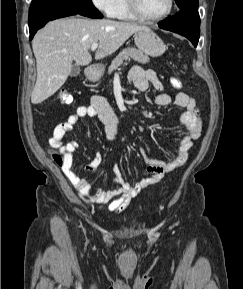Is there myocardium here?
I'll return each mask as SVG.
<instances>
[{
	"mask_svg": "<svg viewBox=\"0 0 243 289\" xmlns=\"http://www.w3.org/2000/svg\"><path fill=\"white\" fill-rule=\"evenodd\" d=\"M127 1H128V7L131 13L137 19L144 20V21H158V20H162L168 17L172 13L174 9V5H175V0H169V6L166 12L158 16H148L142 11L141 6H140V0H127Z\"/></svg>",
	"mask_w": 243,
	"mask_h": 289,
	"instance_id": "obj_1",
	"label": "myocardium"
}]
</instances>
